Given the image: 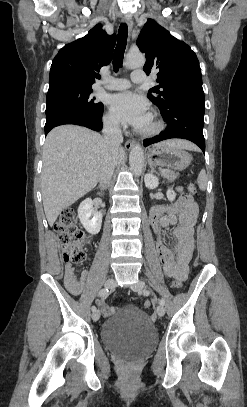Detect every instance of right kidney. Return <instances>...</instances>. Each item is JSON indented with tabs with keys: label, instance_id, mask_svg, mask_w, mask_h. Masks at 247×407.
Here are the masks:
<instances>
[{
	"label": "right kidney",
	"instance_id": "1",
	"mask_svg": "<svg viewBox=\"0 0 247 407\" xmlns=\"http://www.w3.org/2000/svg\"><path fill=\"white\" fill-rule=\"evenodd\" d=\"M78 217L86 231L92 235L99 233L102 224V213L95 211L90 198L81 202L78 207Z\"/></svg>",
	"mask_w": 247,
	"mask_h": 407
}]
</instances>
